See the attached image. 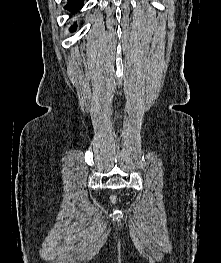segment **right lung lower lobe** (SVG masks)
Masks as SVG:
<instances>
[{"instance_id": "obj_1", "label": "right lung lower lobe", "mask_w": 221, "mask_h": 263, "mask_svg": "<svg viewBox=\"0 0 221 263\" xmlns=\"http://www.w3.org/2000/svg\"><path fill=\"white\" fill-rule=\"evenodd\" d=\"M83 0H69V3L65 6V9L71 11V12H75L77 11V9H79L82 5H83ZM71 31H74L75 28L71 27L70 28Z\"/></svg>"}]
</instances>
